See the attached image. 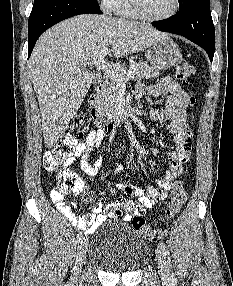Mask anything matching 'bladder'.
<instances>
[{"label":"bladder","instance_id":"31cf9c89","mask_svg":"<svg viewBox=\"0 0 233 286\" xmlns=\"http://www.w3.org/2000/svg\"><path fill=\"white\" fill-rule=\"evenodd\" d=\"M88 256L99 268L121 274L143 267L149 259L150 249L146 240L130 225L112 221L97 231Z\"/></svg>","mask_w":233,"mask_h":286}]
</instances>
